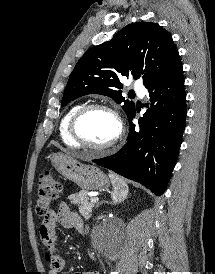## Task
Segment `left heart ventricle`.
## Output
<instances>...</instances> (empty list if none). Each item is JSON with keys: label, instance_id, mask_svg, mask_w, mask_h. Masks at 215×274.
<instances>
[{"label": "left heart ventricle", "instance_id": "1", "mask_svg": "<svg viewBox=\"0 0 215 274\" xmlns=\"http://www.w3.org/2000/svg\"><path fill=\"white\" fill-rule=\"evenodd\" d=\"M82 137L94 145L110 142L117 134L118 126L115 118L103 110L88 112L79 123Z\"/></svg>", "mask_w": 215, "mask_h": 274}]
</instances>
